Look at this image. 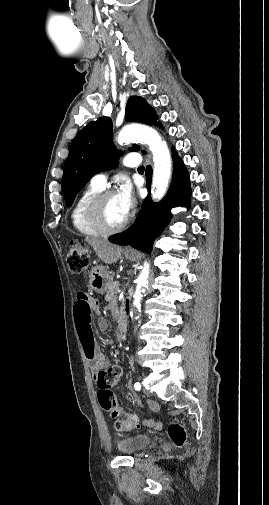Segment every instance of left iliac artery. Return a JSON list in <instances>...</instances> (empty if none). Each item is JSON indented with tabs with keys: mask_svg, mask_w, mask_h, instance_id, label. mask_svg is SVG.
I'll return each mask as SVG.
<instances>
[{
	"mask_svg": "<svg viewBox=\"0 0 269 505\" xmlns=\"http://www.w3.org/2000/svg\"><path fill=\"white\" fill-rule=\"evenodd\" d=\"M134 388H135V390L140 391V389H141V385H140V383L136 382V383L134 384Z\"/></svg>",
	"mask_w": 269,
	"mask_h": 505,
	"instance_id": "1",
	"label": "left iliac artery"
}]
</instances>
